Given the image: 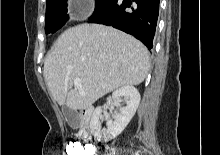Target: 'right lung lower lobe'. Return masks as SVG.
Returning <instances> with one entry per match:
<instances>
[{
	"instance_id": "right-lung-lower-lobe-1",
	"label": "right lung lower lobe",
	"mask_w": 220,
	"mask_h": 155,
	"mask_svg": "<svg viewBox=\"0 0 220 155\" xmlns=\"http://www.w3.org/2000/svg\"><path fill=\"white\" fill-rule=\"evenodd\" d=\"M159 0H113L101 12L91 16L89 22L113 26L153 47Z\"/></svg>"
}]
</instances>
